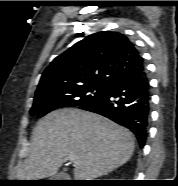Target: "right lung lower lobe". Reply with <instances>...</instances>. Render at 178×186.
Segmentation results:
<instances>
[{
    "label": "right lung lower lobe",
    "mask_w": 178,
    "mask_h": 186,
    "mask_svg": "<svg viewBox=\"0 0 178 186\" xmlns=\"http://www.w3.org/2000/svg\"><path fill=\"white\" fill-rule=\"evenodd\" d=\"M149 87L143 64L116 77L102 95L79 108L105 116L130 129L143 147L150 115Z\"/></svg>",
    "instance_id": "1"
}]
</instances>
